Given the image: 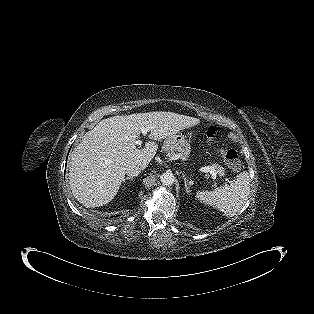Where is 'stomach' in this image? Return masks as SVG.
<instances>
[{"instance_id": "0dacf381", "label": "stomach", "mask_w": 314, "mask_h": 314, "mask_svg": "<svg viewBox=\"0 0 314 314\" xmlns=\"http://www.w3.org/2000/svg\"><path fill=\"white\" fill-rule=\"evenodd\" d=\"M164 142H168L169 145L166 151H174L180 155L182 160H187L189 158L191 147L189 140L182 134V132H177L168 138Z\"/></svg>"}]
</instances>
